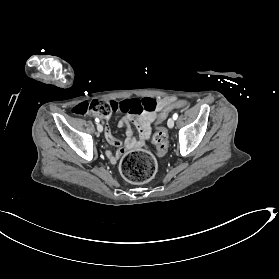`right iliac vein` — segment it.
Returning <instances> with one entry per match:
<instances>
[{
    "mask_svg": "<svg viewBox=\"0 0 279 279\" xmlns=\"http://www.w3.org/2000/svg\"><path fill=\"white\" fill-rule=\"evenodd\" d=\"M97 130H98V132H102L103 126L101 124H97Z\"/></svg>",
    "mask_w": 279,
    "mask_h": 279,
    "instance_id": "obj_1",
    "label": "right iliac vein"
}]
</instances>
